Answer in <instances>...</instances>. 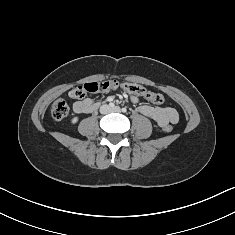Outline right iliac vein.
Masks as SVG:
<instances>
[{
    "instance_id": "right-iliac-vein-1",
    "label": "right iliac vein",
    "mask_w": 235,
    "mask_h": 235,
    "mask_svg": "<svg viewBox=\"0 0 235 235\" xmlns=\"http://www.w3.org/2000/svg\"><path fill=\"white\" fill-rule=\"evenodd\" d=\"M104 110H109V107L107 105L104 106Z\"/></svg>"
}]
</instances>
